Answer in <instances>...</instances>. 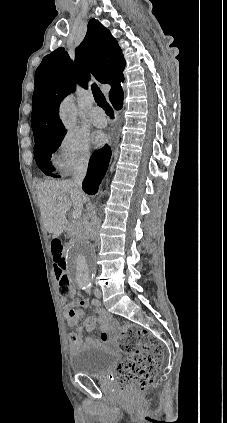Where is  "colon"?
Instances as JSON below:
<instances>
[{
  "instance_id": "5ec220e1",
  "label": "colon",
  "mask_w": 227,
  "mask_h": 423,
  "mask_svg": "<svg viewBox=\"0 0 227 423\" xmlns=\"http://www.w3.org/2000/svg\"><path fill=\"white\" fill-rule=\"evenodd\" d=\"M54 272L61 293H68L70 280L65 273L63 243L54 239L51 243ZM120 348L126 358L119 364L115 380L121 390L129 395H138L150 388L163 361L159 340L147 329L129 324L120 330Z\"/></svg>"
}]
</instances>
